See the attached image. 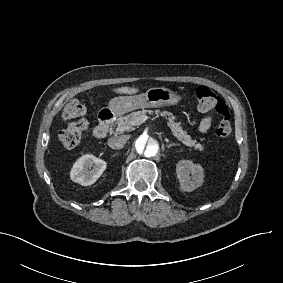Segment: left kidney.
I'll list each match as a JSON object with an SVG mask.
<instances>
[{
	"instance_id": "5707ae66",
	"label": "left kidney",
	"mask_w": 283,
	"mask_h": 283,
	"mask_svg": "<svg viewBox=\"0 0 283 283\" xmlns=\"http://www.w3.org/2000/svg\"><path fill=\"white\" fill-rule=\"evenodd\" d=\"M180 187L185 192H191L203 183V169L191 161H179L176 165Z\"/></svg>"
}]
</instances>
